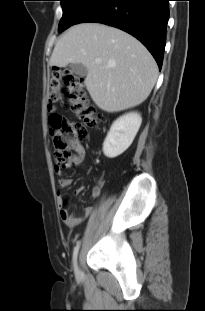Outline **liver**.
Segmentation results:
<instances>
[{
    "instance_id": "1",
    "label": "liver",
    "mask_w": 205,
    "mask_h": 311,
    "mask_svg": "<svg viewBox=\"0 0 205 311\" xmlns=\"http://www.w3.org/2000/svg\"><path fill=\"white\" fill-rule=\"evenodd\" d=\"M75 63L87 68L86 88L94 103L107 112L141 104L158 77L157 64L142 43L101 23L75 25L56 43L50 65Z\"/></svg>"
}]
</instances>
